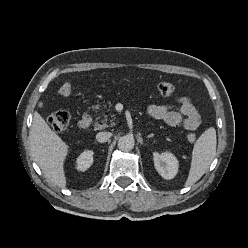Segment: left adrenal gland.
I'll return each instance as SVG.
<instances>
[{"label":"left adrenal gland","instance_id":"a2214340","mask_svg":"<svg viewBox=\"0 0 248 248\" xmlns=\"http://www.w3.org/2000/svg\"><path fill=\"white\" fill-rule=\"evenodd\" d=\"M154 136V134H150V135H148L147 137L148 138H151V137H153Z\"/></svg>","mask_w":248,"mask_h":248}]
</instances>
